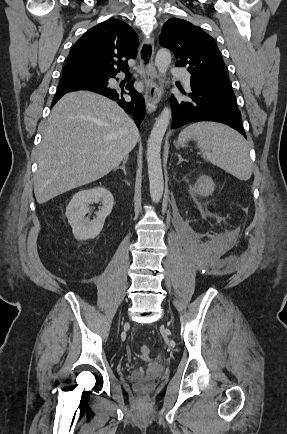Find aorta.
Instances as JSON below:
<instances>
[{"label":"aorta","instance_id":"1","mask_svg":"<svg viewBox=\"0 0 287 434\" xmlns=\"http://www.w3.org/2000/svg\"><path fill=\"white\" fill-rule=\"evenodd\" d=\"M171 63V54L167 49H160L155 57V65L161 76L165 77ZM171 119V108L166 106L156 119L147 141V164L150 183V197L158 203L163 195L164 180L161 164V144Z\"/></svg>","mask_w":287,"mask_h":434}]
</instances>
